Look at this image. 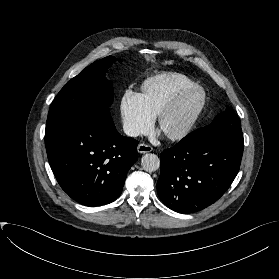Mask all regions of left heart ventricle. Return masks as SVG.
I'll return each instance as SVG.
<instances>
[{
  "instance_id": "left-heart-ventricle-1",
  "label": "left heart ventricle",
  "mask_w": 279,
  "mask_h": 279,
  "mask_svg": "<svg viewBox=\"0 0 279 279\" xmlns=\"http://www.w3.org/2000/svg\"><path fill=\"white\" fill-rule=\"evenodd\" d=\"M200 93L189 96L180 107L166 119L162 127L163 131H177L186 124L200 101Z\"/></svg>"
}]
</instances>
